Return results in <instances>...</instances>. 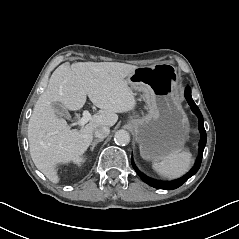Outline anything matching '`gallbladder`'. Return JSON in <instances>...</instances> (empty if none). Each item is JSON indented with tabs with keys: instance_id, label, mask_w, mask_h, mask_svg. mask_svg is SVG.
<instances>
[{
	"instance_id": "gallbladder-1",
	"label": "gallbladder",
	"mask_w": 239,
	"mask_h": 239,
	"mask_svg": "<svg viewBox=\"0 0 239 239\" xmlns=\"http://www.w3.org/2000/svg\"><path fill=\"white\" fill-rule=\"evenodd\" d=\"M53 108L56 111L57 114L64 116L67 120H71L72 116L67 113V111L58 103H53Z\"/></svg>"
}]
</instances>
